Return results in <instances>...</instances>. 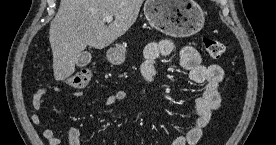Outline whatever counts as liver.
I'll list each match as a JSON object with an SVG mask.
<instances>
[{"label":"liver","mask_w":276,"mask_h":145,"mask_svg":"<svg viewBox=\"0 0 276 145\" xmlns=\"http://www.w3.org/2000/svg\"><path fill=\"white\" fill-rule=\"evenodd\" d=\"M144 0H61L50 24L49 41L56 81L75 72L87 47L103 49L121 37L136 21ZM113 16L109 26L104 18Z\"/></svg>","instance_id":"6515ba94"}]
</instances>
